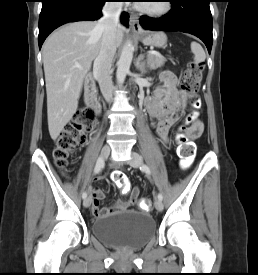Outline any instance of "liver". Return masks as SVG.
<instances>
[{"label":"liver","instance_id":"liver-1","mask_svg":"<svg viewBox=\"0 0 258 275\" xmlns=\"http://www.w3.org/2000/svg\"><path fill=\"white\" fill-rule=\"evenodd\" d=\"M102 36L97 22L79 21L59 28L43 45L48 129L53 140L77 110L84 80L90 75L92 62L99 54ZM123 36L124 27L118 25L117 47Z\"/></svg>","mask_w":258,"mask_h":275}]
</instances>
